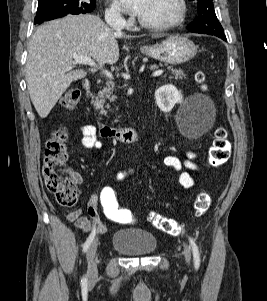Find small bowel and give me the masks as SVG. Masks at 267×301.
<instances>
[{"mask_svg": "<svg viewBox=\"0 0 267 301\" xmlns=\"http://www.w3.org/2000/svg\"><path fill=\"white\" fill-rule=\"evenodd\" d=\"M77 130L82 135L81 145L84 148L97 149L102 146V143L97 136V130L95 126L91 124L80 125L77 127ZM196 157V153L191 151L186 153L185 159L174 155H168L164 157V164L177 173L178 182L185 189H190L195 184L194 178L185 169L190 171H198L200 169L195 162ZM72 175L77 183L81 182V177L78 174L73 173ZM67 219L72 222L76 228L80 229L84 233L90 232L93 230V227L97 228L99 234H106L108 232L107 226L100 220L95 196H93L89 202L86 216H83L81 214V210L77 208L68 213Z\"/></svg>", "mask_w": 267, "mask_h": 301, "instance_id": "1", "label": "small bowel"}]
</instances>
